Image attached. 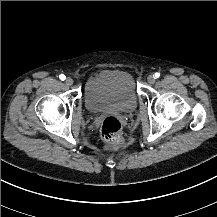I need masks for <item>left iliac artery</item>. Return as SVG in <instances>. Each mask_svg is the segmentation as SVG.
<instances>
[{
    "instance_id": "left-iliac-artery-1",
    "label": "left iliac artery",
    "mask_w": 217,
    "mask_h": 217,
    "mask_svg": "<svg viewBox=\"0 0 217 217\" xmlns=\"http://www.w3.org/2000/svg\"><path fill=\"white\" fill-rule=\"evenodd\" d=\"M159 76H160V73H158V72H156V73L154 74L155 79H156V78H159Z\"/></svg>"
}]
</instances>
